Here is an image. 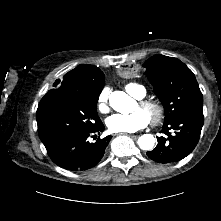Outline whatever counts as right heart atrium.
Masks as SVG:
<instances>
[{
	"instance_id": "d8ad5b80",
	"label": "right heart atrium",
	"mask_w": 221,
	"mask_h": 221,
	"mask_svg": "<svg viewBox=\"0 0 221 221\" xmlns=\"http://www.w3.org/2000/svg\"><path fill=\"white\" fill-rule=\"evenodd\" d=\"M97 108L102 113L109 110V89L107 87L101 89L97 97Z\"/></svg>"
}]
</instances>
